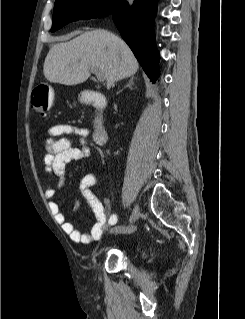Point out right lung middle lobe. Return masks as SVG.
Here are the masks:
<instances>
[{
  "mask_svg": "<svg viewBox=\"0 0 245 319\" xmlns=\"http://www.w3.org/2000/svg\"><path fill=\"white\" fill-rule=\"evenodd\" d=\"M117 2L118 0H55L51 31L72 21L102 17L113 10Z\"/></svg>",
  "mask_w": 245,
  "mask_h": 319,
  "instance_id": "dd1d6c3e",
  "label": "right lung middle lobe"
}]
</instances>
